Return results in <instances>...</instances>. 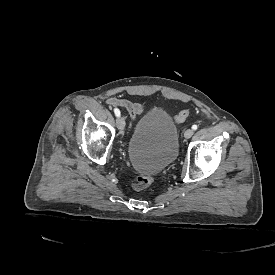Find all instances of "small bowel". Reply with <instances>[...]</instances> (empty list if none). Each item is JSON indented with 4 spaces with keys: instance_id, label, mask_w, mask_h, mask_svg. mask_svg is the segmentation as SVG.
<instances>
[{
    "instance_id": "small-bowel-1",
    "label": "small bowel",
    "mask_w": 275,
    "mask_h": 275,
    "mask_svg": "<svg viewBox=\"0 0 275 275\" xmlns=\"http://www.w3.org/2000/svg\"><path fill=\"white\" fill-rule=\"evenodd\" d=\"M106 103L112 107L125 109L132 120H136V118L145 111V106L142 103L132 102L126 98L109 97Z\"/></svg>"
}]
</instances>
